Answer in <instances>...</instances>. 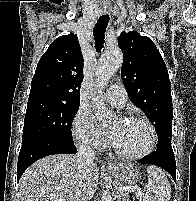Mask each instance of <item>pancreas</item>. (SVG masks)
I'll return each instance as SVG.
<instances>
[{
  "label": "pancreas",
  "mask_w": 196,
  "mask_h": 201,
  "mask_svg": "<svg viewBox=\"0 0 196 201\" xmlns=\"http://www.w3.org/2000/svg\"><path fill=\"white\" fill-rule=\"evenodd\" d=\"M127 197H128L127 194L120 193L117 201H127Z\"/></svg>",
  "instance_id": "1"
}]
</instances>
